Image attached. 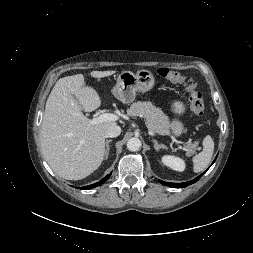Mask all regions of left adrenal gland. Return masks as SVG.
Masks as SVG:
<instances>
[{
    "mask_svg": "<svg viewBox=\"0 0 253 253\" xmlns=\"http://www.w3.org/2000/svg\"><path fill=\"white\" fill-rule=\"evenodd\" d=\"M152 141L154 143V149L156 151H159L160 149H167V147L164 144H159L157 140L153 139Z\"/></svg>",
    "mask_w": 253,
    "mask_h": 253,
    "instance_id": "obj_1",
    "label": "left adrenal gland"
}]
</instances>
